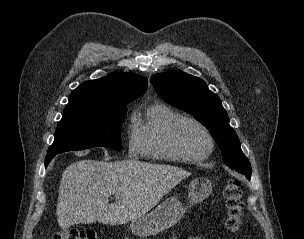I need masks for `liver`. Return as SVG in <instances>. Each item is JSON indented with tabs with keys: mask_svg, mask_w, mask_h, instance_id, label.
Returning a JSON list of instances; mask_svg holds the SVG:
<instances>
[{
	"mask_svg": "<svg viewBox=\"0 0 304 239\" xmlns=\"http://www.w3.org/2000/svg\"><path fill=\"white\" fill-rule=\"evenodd\" d=\"M191 173L135 159L77 161L63 171L57 203L61 228L75 224L119 225L149 212ZM110 195L115 203L108 204Z\"/></svg>",
	"mask_w": 304,
	"mask_h": 239,
	"instance_id": "1",
	"label": "liver"
}]
</instances>
